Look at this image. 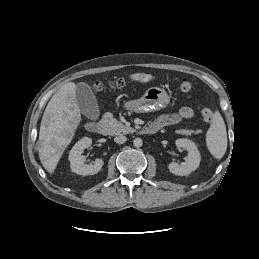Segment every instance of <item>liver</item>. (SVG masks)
<instances>
[{"label": "liver", "mask_w": 259, "mask_h": 259, "mask_svg": "<svg viewBox=\"0 0 259 259\" xmlns=\"http://www.w3.org/2000/svg\"><path fill=\"white\" fill-rule=\"evenodd\" d=\"M129 77L141 83L155 78L145 73H134ZM76 86L74 82L64 84L50 99L41 120L38 154L43 167L50 174L54 173L81 122V112L76 102Z\"/></svg>", "instance_id": "1"}]
</instances>
